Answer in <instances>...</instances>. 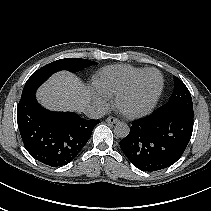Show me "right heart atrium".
I'll use <instances>...</instances> for the list:
<instances>
[{
	"mask_svg": "<svg viewBox=\"0 0 211 211\" xmlns=\"http://www.w3.org/2000/svg\"><path fill=\"white\" fill-rule=\"evenodd\" d=\"M109 100V96L102 92L101 90H98L96 93V101L100 104V105H105L107 104Z\"/></svg>",
	"mask_w": 211,
	"mask_h": 211,
	"instance_id": "right-heart-atrium-1",
	"label": "right heart atrium"
}]
</instances>
